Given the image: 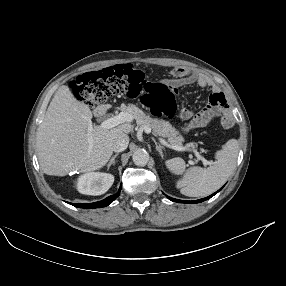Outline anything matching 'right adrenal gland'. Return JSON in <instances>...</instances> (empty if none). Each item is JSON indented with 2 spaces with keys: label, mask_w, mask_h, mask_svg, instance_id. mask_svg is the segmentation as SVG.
Listing matches in <instances>:
<instances>
[{
  "label": "right adrenal gland",
  "mask_w": 286,
  "mask_h": 286,
  "mask_svg": "<svg viewBox=\"0 0 286 286\" xmlns=\"http://www.w3.org/2000/svg\"><path fill=\"white\" fill-rule=\"evenodd\" d=\"M118 155H119V153H116L115 155L112 156V158L110 159V162L107 164V170H109L111 165L115 164V159Z\"/></svg>",
  "instance_id": "obj_1"
}]
</instances>
